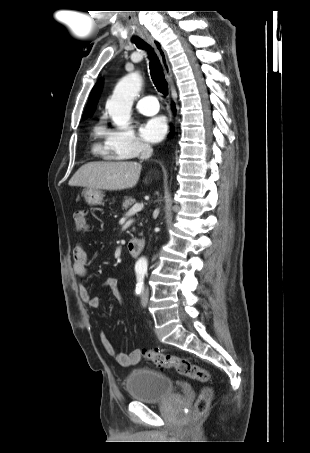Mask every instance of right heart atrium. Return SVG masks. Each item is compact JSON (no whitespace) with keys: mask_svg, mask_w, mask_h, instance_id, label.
Returning a JSON list of instances; mask_svg holds the SVG:
<instances>
[{"mask_svg":"<svg viewBox=\"0 0 310 453\" xmlns=\"http://www.w3.org/2000/svg\"><path fill=\"white\" fill-rule=\"evenodd\" d=\"M101 135L107 151L118 158L136 157L141 151L148 148V145L136 135L130 126L103 127Z\"/></svg>","mask_w":310,"mask_h":453,"instance_id":"d8ad5b80","label":"right heart atrium"}]
</instances>
